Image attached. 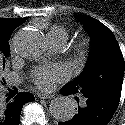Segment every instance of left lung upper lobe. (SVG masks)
Listing matches in <instances>:
<instances>
[{
    "label": "left lung upper lobe",
    "instance_id": "1",
    "mask_svg": "<svg viewBox=\"0 0 125 125\" xmlns=\"http://www.w3.org/2000/svg\"><path fill=\"white\" fill-rule=\"evenodd\" d=\"M91 36V56L83 72L65 85L70 93L83 97L121 95L124 59L112 31L88 16H76Z\"/></svg>",
    "mask_w": 125,
    "mask_h": 125
}]
</instances>
